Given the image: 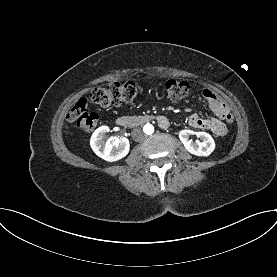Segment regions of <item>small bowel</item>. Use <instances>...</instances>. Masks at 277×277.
Here are the masks:
<instances>
[{
    "label": "small bowel",
    "mask_w": 277,
    "mask_h": 277,
    "mask_svg": "<svg viewBox=\"0 0 277 277\" xmlns=\"http://www.w3.org/2000/svg\"><path fill=\"white\" fill-rule=\"evenodd\" d=\"M203 97L215 117L202 118L198 115H192L189 119L190 125L197 129L209 130L217 136L225 135L227 128L223 120H226L225 114L230 112L228 105L210 89L203 90ZM162 123L167 125V120L163 118Z\"/></svg>",
    "instance_id": "1"
}]
</instances>
